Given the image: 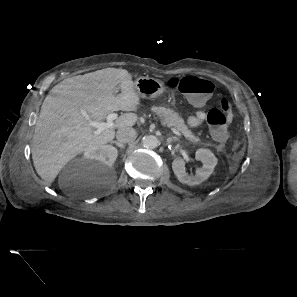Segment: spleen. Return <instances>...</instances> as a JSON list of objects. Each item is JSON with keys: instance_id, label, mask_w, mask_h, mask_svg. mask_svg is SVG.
<instances>
[{"instance_id": "spleen-1", "label": "spleen", "mask_w": 297, "mask_h": 297, "mask_svg": "<svg viewBox=\"0 0 297 297\" xmlns=\"http://www.w3.org/2000/svg\"><path fill=\"white\" fill-rule=\"evenodd\" d=\"M230 171H233V168H230Z\"/></svg>"}]
</instances>
